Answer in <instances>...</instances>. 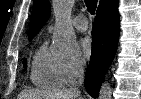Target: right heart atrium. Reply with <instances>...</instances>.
Segmentation results:
<instances>
[{"instance_id":"right-heart-atrium-1","label":"right heart atrium","mask_w":141,"mask_h":99,"mask_svg":"<svg viewBox=\"0 0 141 99\" xmlns=\"http://www.w3.org/2000/svg\"><path fill=\"white\" fill-rule=\"evenodd\" d=\"M84 70V62L81 58H70L63 60V76L65 81H74Z\"/></svg>"}]
</instances>
